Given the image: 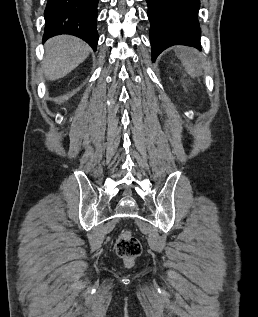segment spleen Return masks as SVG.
Returning a JSON list of instances; mask_svg holds the SVG:
<instances>
[{"instance_id":"1","label":"spleen","mask_w":258,"mask_h":317,"mask_svg":"<svg viewBox=\"0 0 258 317\" xmlns=\"http://www.w3.org/2000/svg\"><path fill=\"white\" fill-rule=\"evenodd\" d=\"M175 52L177 56H180L185 66V70H187L188 74H190V76H196L197 62L193 48H184V46H177V48H175Z\"/></svg>"}]
</instances>
